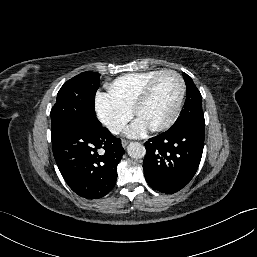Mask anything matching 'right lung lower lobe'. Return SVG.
<instances>
[{
	"instance_id": "98d812e1",
	"label": "right lung lower lobe",
	"mask_w": 257,
	"mask_h": 257,
	"mask_svg": "<svg viewBox=\"0 0 257 257\" xmlns=\"http://www.w3.org/2000/svg\"><path fill=\"white\" fill-rule=\"evenodd\" d=\"M52 148L64 180L77 195L98 199L114 188L124 149L107 128H67L52 138Z\"/></svg>"
}]
</instances>
